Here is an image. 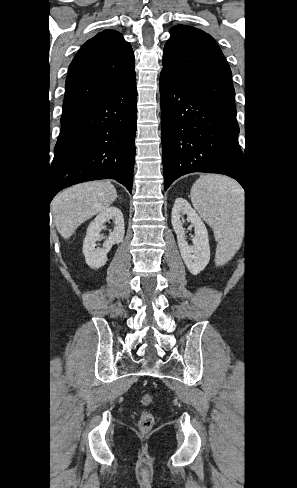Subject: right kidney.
<instances>
[{
	"label": "right kidney",
	"mask_w": 297,
	"mask_h": 488,
	"mask_svg": "<svg viewBox=\"0 0 297 488\" xmlns=\"http://www.w3.org/2000/svg\"><path fill=\"white\" fill-rule=\"evenodd\" d=\"M110 219L114 220V230L103 243L101 249H96V242L103 239L101 230L105 222ZM125 234L124 218L121 210L115 206H111L98 214L87 228L86 237L83 241V254L86 263L91 268H100L107 262V254L114 244H119L123 241Z\"/></svg>",
	"instance_id": "obj_1"
}]
</instances>
